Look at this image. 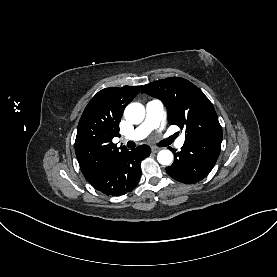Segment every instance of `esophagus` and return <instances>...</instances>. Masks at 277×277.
Here are the masks:
<instances>
[{
	"mask_svg": "<svg viewBox=\"0 0 277 277\" xmlns=\"http://www.w3.org/2000/svg\"><path fill=\"white\" fill-rule=\"evenodd\" d=\"M151 150L153 153H157L158 151H160V148L159 147H151Z\"/></svg>",
	"mask_w": 277,
	"mask_h": 277,
	"instance_id": "34e87169",
	"label": "esophagus"
}]
</instances>
